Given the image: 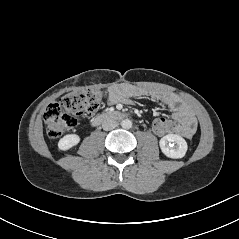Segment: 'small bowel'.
<instances>
[{
	"label": "small bowel",
	"instance_id": "c3829d8e",
	"mask_svg": "<svg viewBox=\"0 0 239 239\" xmlns=\"http://www.w3.org/2000/svg\"><path fill=\"white\" fill-rule=\"evenodd\" d=\"M145 96L151 97L170 110L172 113V120H170L172 122V131L170 133L192 138L197 130V119L188 106L172 93L118 84L109 88L107 103L109 105L126 104L132 98Z\"/></svg>",
	"mask_w": 239,
	"mask_h": 239
}]
</instances>
